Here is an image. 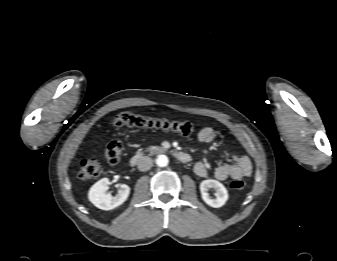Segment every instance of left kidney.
Instances as JSON below:
<instances>
[{
  "label": "left kidney",
  "instance_id": "1",
  "mask_svg": "<svg viewBox=\"0 0 337 261\" xmlns=\"http://www.w3.org/2000/svg\"><path fill=\"white\" fill-rule=\"evenodd\" d=\"M209 188L216 190L215 198L209 196ZM200 192L204 202L214 208H219L228 200V192L224 185L217 180L208 179L200 183Z\"/></svg>",
  "mask_w": 337,
  "mask_h": 261
}]
</instances>
